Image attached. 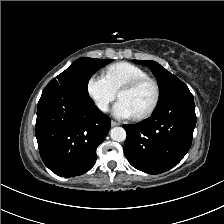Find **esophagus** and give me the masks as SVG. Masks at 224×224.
<instances>
[{
	"mask_svg": "<svg viewBox=\"0 0 224 224\" xmlns=\"http://www.w3.org/2000/svg\"><path fill=\"white\" fill-rule=\"evenodd\" d=\"M120 125V123H118V122H116V121H111V126L112 127H115V126H119Z\"/></svg>",
	"mask_w": 224,
	"mask_h": 224,
	"instance_id": "obj_1",
	"label": "esophagus"
}]
</instances>
